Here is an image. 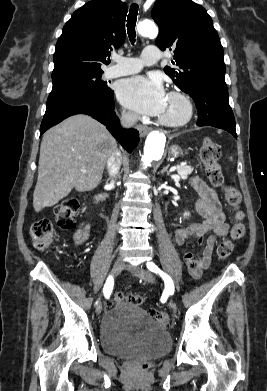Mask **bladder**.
<instances>
[{"mask_svg": "<svg viewBox=\"0 0 267 391\" xmlns=\"http://www.w3.org/2000/svg\"><path fill=\"white\" fill-rule=\"evenodd\" d=\"M100 342L107 354L151 359L169 351L171 336L141 307L121 302L104 314L100 323Z\"/></svg>", "mask_w": 267, "mask_h": 391, "instance_id": "bladder-1", "label": "bladder"}]
</instances>
